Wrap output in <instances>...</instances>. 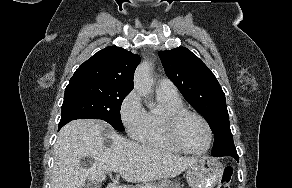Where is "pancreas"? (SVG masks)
Returning a JSON list of instances; mask_svg holds the SVG:
<instances>
[{
    "label": "pancreas",
    "mask_w": 292,
    "mask_h": 188,
    "mask_svg": "<svg viewBox=\"0 0 292 188\" xmlns=\"http://www.w3.org/2000/svg\"><path fill=\"white\" fill-rule=\"evenodd\" d=\"M182 188L180 183L173 182L168 179H160L156 182H148L143 185H138L136 188Z\"/></svg>",
    "instance_id": "obj_1"
}]
</instances>
